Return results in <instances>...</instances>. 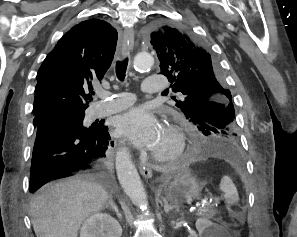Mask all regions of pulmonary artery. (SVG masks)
I'll list each match as a JSON object with an SVG mask.
<instances>
[{
    "instance_id": "pulmonary-artery-1",
    "label": "pulmonary artery",
    "mask_w": 297,
    "mask_h": 237,
    "mask_svg": "<svg viewBox=\"0 0 297 237\" xmlns=\"http://www.w3.org/2000/svg\"><path fill=\"white\" fill-rule=\"evenodd\" d=\"M167 85L161 76H150L145 78L141 90L145 93H157ZM106 99L92 105L91 110L94 116H105L119 112L132 106L136 99L132 93H121L113 96L103 95Z\"/></svg>"
}]
</instances>
